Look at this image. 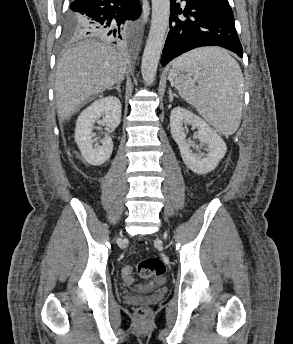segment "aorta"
Masks as SVG:
<instances>
[{"label": "aorta", "mask_w": 293, "mask_h": 344, "mask_svg": "<svg viewBox=\"0 0 293 344\" xmlns=\"http://www.w3.org/2000/svg\"><path fill=\"white\" fill-rule=\"evenodd\" d=\"M170 0H152V19L144 49L141 73L147 85L153 84L169 24Z\"/></svg>", "instance_id": "aorta-1"}]
</instances>
